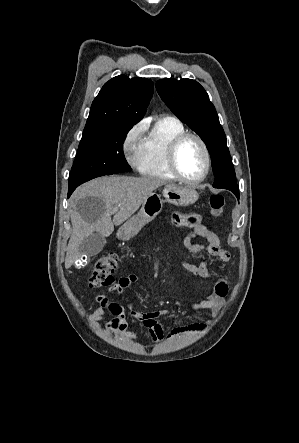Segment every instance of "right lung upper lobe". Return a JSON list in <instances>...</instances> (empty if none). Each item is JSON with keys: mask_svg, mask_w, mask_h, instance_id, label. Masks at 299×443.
I'll return each instance as SVG.
<instances>
[{"mask_svg": "<svg viewBox=\"0 0 299 443\" xmlns=\"http://www.w3.org/2000/svg\"><path fill=\"white\" fill-rule=\"evenodd\" d=\"M153 82L119 75L109 80L94 99L83 133L116 125H134L145 115Z\"/></svg>", "mask_w": 299, "mask_h": 443, "instance_id": "1", "label": "right lung upper lobe"}]
</instances>
